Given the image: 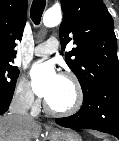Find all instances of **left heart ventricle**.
<instances>
[{
	"label": "left heart ventricle",
	"instance_id": "1",
	"mask_svg": "<svg viewBox=\"0 0 119 141\" xmlns=\"http://www.w3.org/2000/svg\"><path fill=\"white\" fill-rule=\"evenodd\" d=\"M75 99V93L71 82L60 76L53 93L46 99L54 109H66Z\"/></svg>",
	"mask_w": 119,
	"mask_h": 141
}]
</instances>
